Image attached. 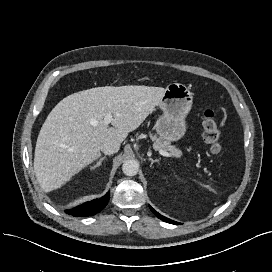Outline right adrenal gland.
Returning a JSON list of instances; mask_svg holds the SVG:
<instances>
[{
	"label": "right adrenal gland",
	"instance_id": "right-adrenal-gland-1",
	"mask_svg": "<svg viewBox=\"0 0 272 272\" xmlns=\"http://www.w3.org/2000/svg\"><path fill=\"white\" fill-rule=\"evenodd\" d=\"M105 159H106V156L101 157L99 161L93 167H91V169H95L99 167Z\"/></svg>",
	"mask_w": 272,
	"mask_h": 272
}]
</instances>
